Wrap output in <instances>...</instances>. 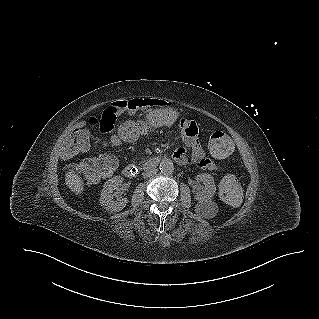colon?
<instances>
[{"instance_id": "obj_1", "label": "colon", "mask_w": 319, "mask_h": 319, "mask_svg": "<svg viewBox=\"0 0 319 319\" xmlns=\"http://www.w3.org/2000/svg\"><path fill=\"white\" fill-rule=\"evenodd\" d=\"M144 133L143 125L139 121H132L122 126L114 135H106L96 143V150L100 155L76 168L77 176L83 182H87L110 175L117 165V159L111 152H119L127 144L139 143ZM88 139L86 130L74 132L66 140L62 148V155L66 158L75 156L88 146ZM205 148L214 160L224 161L233 154L234 144L226 133L213 131L205 139ZM220 194L225 201L237 204L242 197V188L238 178L232 175L225 176L221 181Z\"/></svg>"}]
</instances>
